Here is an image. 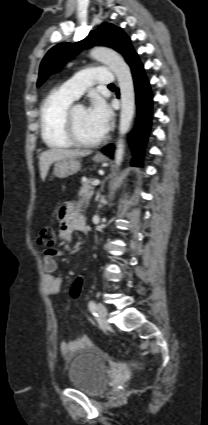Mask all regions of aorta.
Segmentation results:
<instances>
[{
  "label": "aorta",
  "instance_id": "1",
  "mask_svg": "<svg viewBox=\"0 0 208 425\" xmlns=\"http://www.w3.org/2000/svg\"><path fill=\"white\" fill-rule=\"evenodd\" d=\"M90 56L106 64L115 74L120 89L121 112L119 123V139L115 152V163L119 166L124 155V137L128 132L135 110V90L132 74L124 59L114 50L106 47H95Z\"/></svg>",
  "mask_w": 208,
  "mask_h": 425
}]
</instances>
